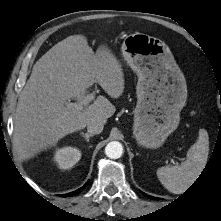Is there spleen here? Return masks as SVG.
I'll return each mask as SVG.
<instances>
[{"mask_svg": "<svg viewBox=\"0 0 221 221\" xmlns=\"http://www.w3.org/2000/svg\"><path fill=\"white\" fill-rule=\"evenodd\" d=\"M208 154V133L200 129L197 142L187 152L186 161L180 165L159 168L158 179L171 193L181 194L198 178L207 163Z\"/></svg>", "mask_w": 221, "mask_h": 221, "instance_id": "obj_1", "label": "spleen"}]
</instances>
